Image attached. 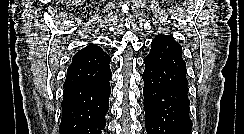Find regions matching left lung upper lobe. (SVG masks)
Returning a JSON list of instances; mask_svg holds the SVG:
<instances>
[{
	"label": "left lung upper lobe",
	"mask_w": 244,
	"mask_h": 134,
	"mask_svg": "<svg viewBox=\"0 0 244 134\" xmlns=\"http://www.w3.org/2000/svg\"><path fill=\"white\" fill-rule=\"evenodd\" d=\"M145 71L166 88H187L186 63L182 48L172 36L157 35L150 53L144 58Z\"/></svg>",
	"instance_id": "1"
}]
</instances>
